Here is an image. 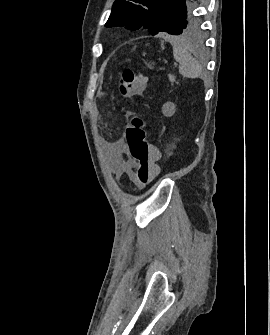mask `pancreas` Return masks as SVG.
<instances>
[{"label":"pancreas","instance_id":"pancreas-1","mask_svg":"<svg viewBox=\"0 0 270 335\" xmlns=\"http://www.w3.org/2000/svg\"><path fill=\"white\" fill-rule=\"evenodd\" d=\"M169 82H176L175 76L173 74H168ZM176 84H179V82H176Z\"/></svg>","mask_w":270,"mask_h":335}]
</instances>
